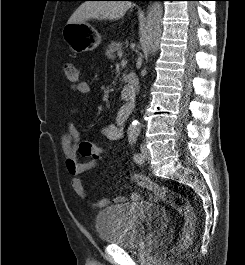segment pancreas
<instances>
[{"mask_svg":"<svg viewBox=\"0 0 245 265\" xmlns=\"http://www.w3.org/2000/svg\"><path fill=\"white\" fill-rule=\"evenodd\" d=\"M121 45L120 43H117V42H114L112 41L107 49H106V52H105V56H107L108 59H115V53L118 52V51H121Z\"/></svg>","mask_w":245,"mask_h":265,"instance_id":"cf45deb5","label":"pancreas"}]
</instances>
